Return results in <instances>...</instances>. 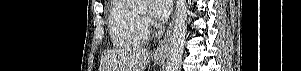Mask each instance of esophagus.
I'll return each mask as SVG.
<instances>
[{
	"label": "esophagus",
	"mask_w": 301,
	"mask_h": 71,
	"mask_svg": "<svg viewBox=\"0 0 301 71\" xmlns=\"http://www.w3.org/2000/svg\"><path fill=\"white\" fill-rule=\"evenodd\" d=\"M173 21H171L163 39L159 42L158 46L153 52V56L156 59H164L167 55L168 46L170 42L171 32H172Z\"/></svg>",
	"instance_id": "34e87169"
}]
</instances>
